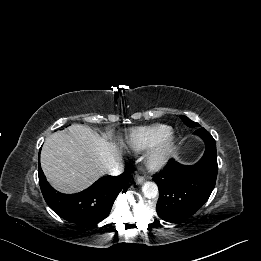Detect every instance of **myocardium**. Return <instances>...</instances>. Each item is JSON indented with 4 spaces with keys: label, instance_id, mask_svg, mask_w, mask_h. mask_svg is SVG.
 <instances>
[{
    "label": "myocardium",
    "instance_id": "myocardium-1",
    "mask_svg": "<svg viewBox=\"0 0 261 261\" xmlns=\"http://www.w3.org/2000/svg\"><path fill=\"white\" fill-rule=\"evenodd\" d=\"M175 150V138L170 133L154 145L146 155V166L151 170L163 168Z\"/></svg>",
    "mask_w": 261,
    "mask_h": 261
}]
</instances>
